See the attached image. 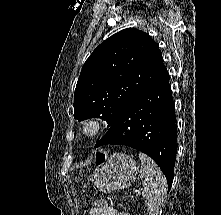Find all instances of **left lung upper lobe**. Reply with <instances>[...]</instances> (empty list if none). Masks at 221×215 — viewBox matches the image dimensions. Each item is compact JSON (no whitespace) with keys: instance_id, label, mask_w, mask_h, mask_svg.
I'll return each mask as SVG.
<instances>
[{"instance_id":"1","label":"left lung upper lobe","mask_w":221,"mask_h":215,"mask_svg":"<svg viewBox=\"0 0 221 215\" xmlns=\"http://www.w3.org/2000/svg\"><path fill=\"white\" fill-rule=\"evenodd\" d=\"M166 70L155 41L128 28L102 42L83 65L74 92V118L100 117L111 126Z\"/></svg>"}]
</instances>
